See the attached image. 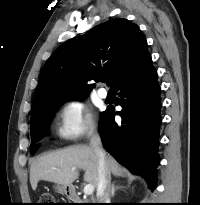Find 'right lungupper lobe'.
<instances>
[{"label": "right lung upper lobe", "mask_w": 200, "mask_h": 205, "mask_svg": "<svg viewBox=\"0 0 200 205\" xmlns=\"http://www.w3.org/2000/svg\"><path fill=\"white\" fill-rule=\"evenodd\" d=\"M150 59L143 33L127 19L109 20L67 40L41 71L31 119L47 101L82 97L91 89L87 82L104 74L113 89Z\"/></svg>", "instance_id": "right-lung-upper-lobe-1"}]
</instances>
